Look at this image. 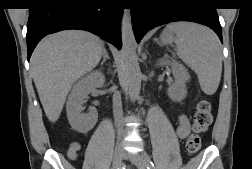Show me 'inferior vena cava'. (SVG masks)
<instances>
[{
  "mask_svg": "<svg viewBox=\"0 0 252 169\" xmlns=\"http://www.w3.org/2000/svg\"><path fill=\"white\" fill-rule=\"evenodd\" d=\"M113 115L117 129V146L122 147V138L124 137V126H123V110L121 95L117 90H114L113 94Z\"/></svg>",
  "mask_w": 252,
  "mask_h": 169,
  "instance_id": "602c4592",
  "label": "inferior vena cava"
}]
</instances>
